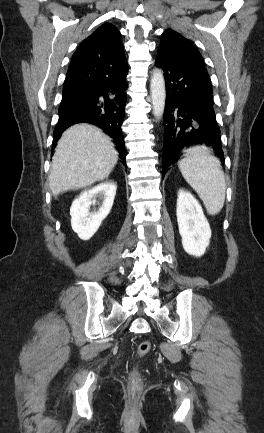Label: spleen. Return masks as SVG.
<instances>
[{
    "mask_svg": "<svg viewBox=\"0 0 264 433\" xmlns=\"http://www.w3.org/2000/svg\"><path fill=\"white\" fill-rule=\"evenodd\" d=\"M178 167L187 183L197 192L208 214H218L224 206L226 182L221 163L204 146L189 148Z\"/></svg>",
    "mask_w": 264,
    "mask_h": 433,
    "instance_id": "1",
    "label": "spleen"
}]
</instances>
